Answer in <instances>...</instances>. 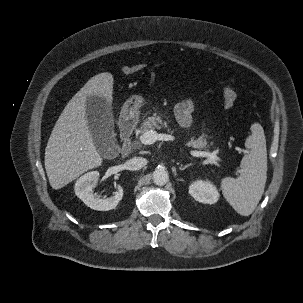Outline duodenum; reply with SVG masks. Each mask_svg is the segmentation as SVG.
Returning a JSON list of instances; mask_svg holds the SVG:
<instances>
[{"mask_svg":"<svg viewBox=\"0 0 303 303\" xmlns=\"http://www.w3.org/2000/svg\"><path fill=\"white\" fill-rule=\"evenodd\" d=\"M136 126V120L133 117L126 116L120 124L122 139L121 156L126 157L131 152V136Z\"/></svg>","mask_w":303,"mask_h":303,"instance_id":"obj_1","label":"duodenum"}]
</instances>
